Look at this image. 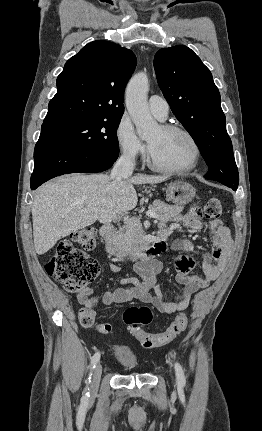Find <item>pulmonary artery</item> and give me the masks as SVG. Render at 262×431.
<instances>
[{"label": "pulmonary artery", "instance_id": "1", "mask_svg": "<svg viewBox=\"0 0 262 431\" xmlns=\"http://www.w3.org/2000/svg\"><path fill=\"white\" fill-rule=\"evenodd\" d=\"M148 106L151 113L159 120H164L168 116V103L158 95H152L148 100Z\"/></svg>", "mask_w": 262, "mask_h": 431}]
</instances>
